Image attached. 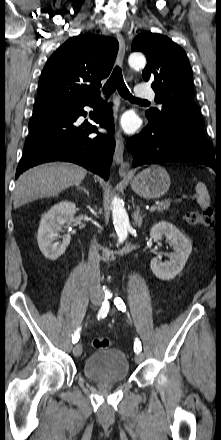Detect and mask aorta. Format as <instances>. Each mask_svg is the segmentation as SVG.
<instances>
[{
    "label": "aorta",
    "instance_id": "aorta-1",
    "mask_svg": "<svg viewBox=\"0 0 221 440\" xmlns=\"http://www.w3.org/2000/svg\"><path fill=\"white\" fill-rule=\"evenodd\" d=\"M128 63L132 68H143L146 64V59L141 53L135 52L129 56ZM112 219L118 236V242L122 243L127 238L130 223L123 202L117 196L112 200Z\"/></svg>",
    "mask_w": 221,
    "mask_h": 440
}]
</instances>
